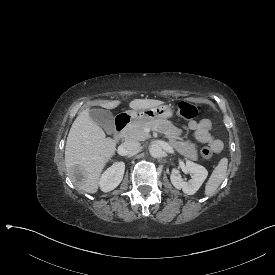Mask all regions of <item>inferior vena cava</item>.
I'll return each mask as SVG.
<instances>
[{
	"label": "inferior vena cava",
	"instance_id": "602c4592",
	"mask_svg": "<svg viewBox=\"0 0 275 275\" xmlns=\"http://www.w3.org/2000/svg\"><path fill=\"white\" fill-rule=\"evenodd\" d=\"M140 148V143L135 140H127L120 146L123 155L135 154Z\"/></svg>",
	"mask_w": 275,
	"mask_h": 275
}]
</instances>
